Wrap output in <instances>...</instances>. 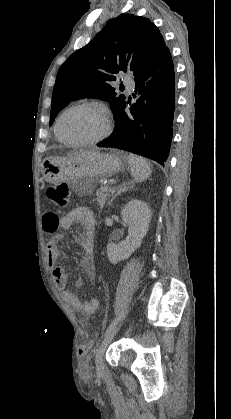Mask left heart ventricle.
<instances>
[{"label":"left heart ventricle","mask_w":231,"mask_h":419,"mask_svg":"<svg viewBox=\"0 0 231 419\" xmlns=\"http://www.w3.org/2000/svg\"><path fill=\"white\" fill-rule=\"evenodd\" d=\"M105 127L101 113L89 109L69 112L61 122L62 133L75 140L90 139L99 135Z\"/></svg>","instance_id":"obj_1"}]
</instances>
